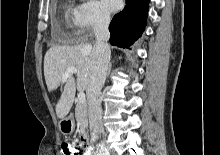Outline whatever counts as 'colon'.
<instances>
[{"label": "colon", "instance_id": "5ec220e1", "mask_svg": "<svg viewBox=\"0 0 220 155\" xmlns=\"http://www.w3.org/2000/svg\"><path fill=\"white\" fill-rule=\"evenodd\" d=\"M87 145H64L62 144V154L63 155H81L83 149H85Z\"/></svg>", "mask_w": 220, "mask_h": 155}]
</instances>
